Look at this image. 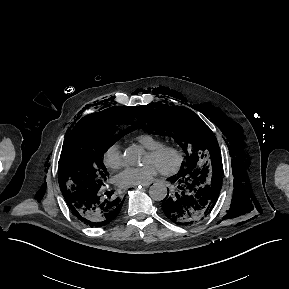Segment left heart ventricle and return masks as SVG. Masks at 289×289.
Wrapping results in <instances>:
<instances>
[{
  "instance_id": "obj_1",
  "label": "left heart ventricle",
  "mask_w": 289,
  "mask_h": 289,
  "mask_svg": "<svg viewBox=\"0 0 289 289\" xmlns=\"http://www.w3.org/2000/svg\"><path fill=\"white\" fill-rule=\"evenodd\" d=\"M173 160H174V157L171 154H167L160 159H156L150 156L148 153H146L145 158H144V164L152 163L157 168H160V167L170 166Z\"/></svg>"
}]
</instances>
